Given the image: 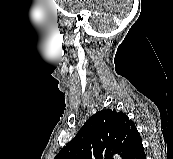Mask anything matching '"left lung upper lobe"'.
I'll return each mask as SVG.
<instances>
[{"label":"left lung upper lobe","mask_w":173,"mask_h":159,"mask_svg":"<svg viewBox=\"0 0 173 159\" xmlns=\"http://www.w3.org/2000/svg\"><path fill=\"white\" fill-rule=\"evenodd\" d=\"M141 142L127 115L115 109L101 110L86 121L55 159H112L114 153L127 159Z\"/></svg>","instance_id":"obj_1"}]
</instances>
